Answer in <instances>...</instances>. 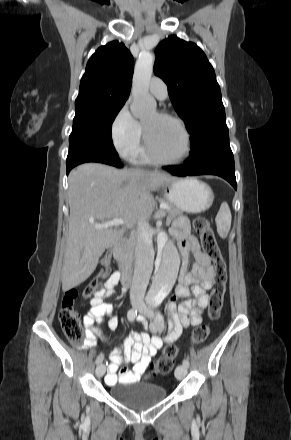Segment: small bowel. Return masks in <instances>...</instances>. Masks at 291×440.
I'll return each mask as SVG.
<instances>
[{"instance_id":"obj_1","label":"small bowel","mask_w":291,"mask_h":440,"mask_svg":"<svg viewBox=\"0 0 291 440\" xmlns=\"http://www.w3.org/2000/svg\"><path fill=\"white\" fill-rule=\"evenodd\" d=\"M171 237L179 245L182 265L179 282L174 292L168 298L166 311L170 322L171 332L166 342L175 341L181 334L182 328L189 325L197 326L202 323V315L209 304L208 289L214 277L211 260L199 248L196 240L190 234L186 219L177 220L170 229ZM193 254L195 262L190 271L189 257ZM120 281V273H114L106 282L107 293H111ZM189 285H192L189 288ZM179 297L188 298L177 305ZM90 310L83 319L85 329V345H93L100 336L99 325L106 315H111L113 306L105 301V296L98 295L90 302ZM138 321L145 323L139 316ZM118 320L112 317L109 321L111 329L117 328ZM163 346L158 336H149L147 333L131 331L122 343L109 353L108 371L105 377L107 385L125 383L140 378L147 370L155 368L152 358ZM133 363L132 371L128 363Z\"/></svg>"}]
</instances>
